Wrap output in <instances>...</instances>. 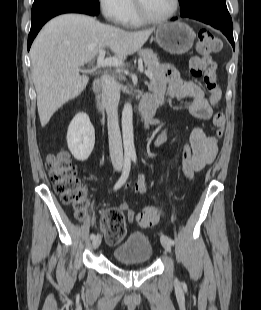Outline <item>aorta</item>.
Returning a JSON list of instances; mask_svg holds the SVG:
<instances>
[{"instance_id":"762f6f07","label":"aorta","mask_w":261,"mask_h":310,"mask_svg":"<svg viewBox=\"0 0 261 310\" xmlns=\"http://www.w3.org/2000/svg\"><path fill=\"white\" fill-rule=\"evenodd\" d=\"M122 136L125 155L135 156L133 136V109L129 102L125 103L122 111Z\"/></svg>"}]
</instances>
